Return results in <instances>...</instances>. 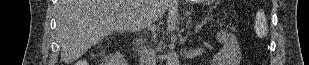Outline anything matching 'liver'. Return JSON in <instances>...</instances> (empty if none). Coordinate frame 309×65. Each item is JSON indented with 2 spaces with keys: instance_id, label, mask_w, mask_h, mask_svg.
<instances>
[{
  "instance_id": "obj_1",
  "label": "liver",
  "mask_w": 309,
  "mask_h": 65,
  "mask_svg": "<svg viewBox=\"0 0 309 65\" xmlns=\"http://www.w3.org/2000/svg\"><path fill=\"white\" fill-rule=\"evenodd\" d=\"M169 0H59L61 59L72 63L114 31L135 32L160 19Z\"/></svg>"
}]
</instances>
